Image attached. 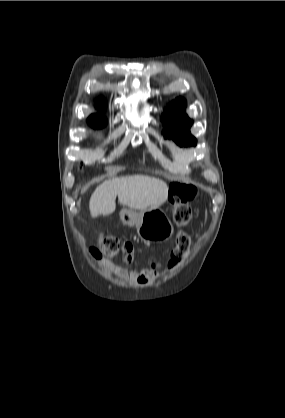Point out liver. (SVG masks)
<instances>
[{"mask_svg": "<svg viewBox=\"0 0 285 418\" xmlns=\"http://www.w3.org/2000/svg\"><path fill=\"white\" fill-rule=\"evenodd\" d=\"M123 206L139 211L156 209L168 197L167 184L155 177L132 175L101 183L89 201L92 216L109 215L116 209V197Z\"/></svg>", "mask_w": 285, "mask_h": 418, "instance_id": "liver-1", "label": "liver"}]
</instances>
